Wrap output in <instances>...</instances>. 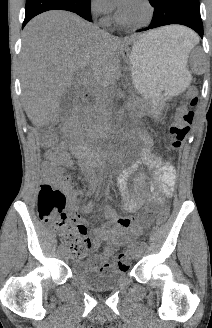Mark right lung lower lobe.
Here are the masks:
<instances>
[{
    "instance_id": "1",
    "label": "right lung lower lobe",
    "mask_w": 212,
    "mask_h": 328,
    "mask_svg": "<svg viewBox=\"0 0 212 328\" xmlns=\"http://www.w3.org/2000/svg\"><path fill=\"white\" fill-rule=\"evenodd\" d=\"M48 10H67L92 21L90 0H26L24 27L30 19Z\"/></svg>"
}]
</instances>
